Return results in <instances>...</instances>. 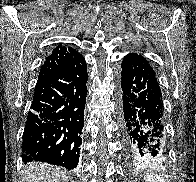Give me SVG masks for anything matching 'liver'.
<instances>
[{"mask_svg":"<svg viewBox=\"0 0 196 182\" xmlns=\"http://www.w3.org/2000/svg\"><path fill=\"white\" fill-rule=\"evenodd\" d=\"M22 182H68L63 168L44 163H31L23 170Z\"/></svg>","mask_w":196,"mask_h":182,"instance_id":"obj_1","label":"liver"}]
</instances>
